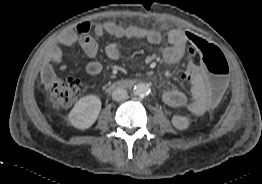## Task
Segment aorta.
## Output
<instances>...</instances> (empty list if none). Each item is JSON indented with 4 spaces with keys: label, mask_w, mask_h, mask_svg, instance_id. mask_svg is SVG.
Returning a JSON list of instances; mask_svg holds the SVG:
<instances>
[{
    "label": "aorta",
    "mask_w": 262,
    "mask_h": 184,
    "mask_svg": "<svg viewBox=\"0 0 262 184\" xmlns=\"http://www.w3.org/2000/svg\"><path fill=\"white\" fill-rule=\"evenodd\" d=\"M150 89L147 84L140 83L134 87V94L137 96H145L149 93Z\"/></svg>",
    "instance_id": "aorta-1"
}]
</instances>
